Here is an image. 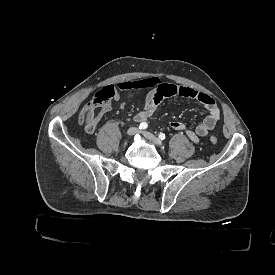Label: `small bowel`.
Instances as JSON below:
<instances>
[{
  "label": "small bowel",
  "instance_id": "small-bowel-1",
  "mask_svg": "<svg viewBox=\"0 0 275 275\" xmlns=\"http://www.w3.org/2000/svg\"><path fill=\"white\" fill-rule=\"evenodd\" d=\"M124 84L128 87L122 90L148 91L144 99L143 109L134 116V120L138 123H143L152 117L161 101L170 96L196 99L206 108L207 115L194 129H189L186 123L179 120L169 122L171 130L185 132L188 138L195 143L212 131L220 119V109L214 98L206 93L197 92L190 87L163 83L158 77H148ZM119 96V93L115 94L116 99ZM124 105L125 103L122 102L120 107L123 108Z\"/></svg>",
  "mask_w": 275,
  "mask_h": 275
}]
</instances>
